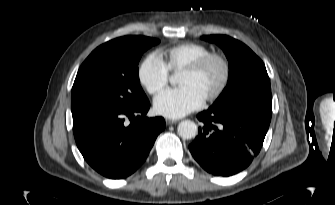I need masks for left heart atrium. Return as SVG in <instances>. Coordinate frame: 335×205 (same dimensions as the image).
Listing matches in <instances>:
<instances>
[{
  "mask_svg": "<svg viewBox=\"0 0 335 205\" xmlns=\"http://www.w3.org/2000/svg\"><path fill=\"white\" fill-rule=\"evenodd\" d=\"M203 102L204 98L193 88L180 87L159 94L154 99V110L165 117L180 118L199 109Z\"/></svg>",
  "mask_w": 335,
  "mask_h": 205,
  "instance_id": "1",
  "label": "left heart atrium"
}]
</instances>
